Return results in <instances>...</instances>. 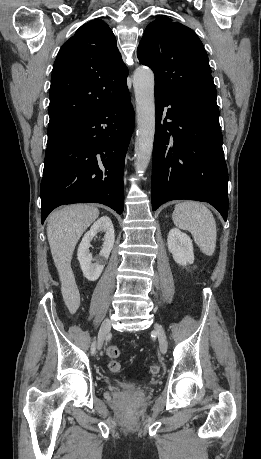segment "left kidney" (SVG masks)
Here are the masks:
<instances>
[{"label": "left kidney", "instance_id": "left-kidney-1", "mask_svg": "<svg viewBox=\"0 0 261 459\" xmlns=\"http://www.w3.org/2000/svg\"><path fill=\"white\" fill-rule=\"evenodd\" d=\"M167 246L176 263L182 266L193 264V244L187 234L177 228H172L168 234Z\"/></svg>", "mask_w": 261, "mask_h": 459}]
</instances>
